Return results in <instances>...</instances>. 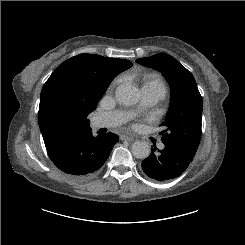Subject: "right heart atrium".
Instances as JSON below:
<instances>
[{
  "instance_id": "1",
  "label": "right heart atrium",
  "mask_w": 245,
  "mask_h": 245,
  "mask_svg": "<svg viewBox=\"0 0 245 245\" xmlns=\"http://www.w3.org/2000/svg\"><path fill=\"white\" fill-rule=\"evenodd\" d=\"M118 82V80H115L113 83H112V86L114 85V84H116Z\"/></svg>"
}]
</instances>
